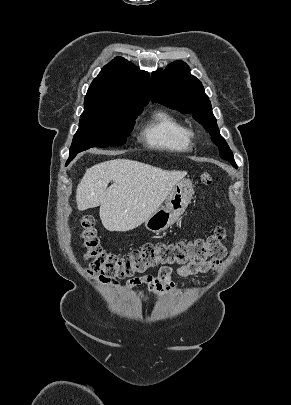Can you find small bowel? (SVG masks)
<instances>
[{
	"label": "small bowel",
	"instance_id": "1",
	"mask_svg": "<svg viewBox=\"0 0 291 405\" xmlns=\"http://www.w3.org/2000/svg\"><path fill=\"white\" fill-rule=\"evenodd\" d=\"M222 264V260H211L200 263H190L186 266H180L176 269V273L180 277H189L199 273H207L218 269ZM172 268L162 267L156 275H145L134 277L127 282V287L133 289L140 285L147 286L149 292L155 297L176 293V286L172 281ZM138 295L143 301L148 302L149 297L139 292Z\"/></svg>",
	"mask_w": 291,
	"mask_h": 405
}]
</instances>
